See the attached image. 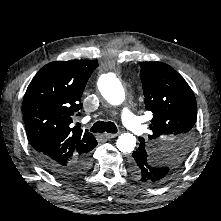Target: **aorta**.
I'll return each mask as SVG.
<instances>
[{"mask_svg": "<svg viewBox=\"0 0 221 221\" xmlns=\"http://www.w3.org/2000/svg\"><path fill=\"white\" fill-rule=\"evenodd\" d=\"M98 88L106 101L112 105H120L125 99L124 88L113 73L102 75L98 81ZM116 145L121 152L130 153L136 146V137L131 133H123L118 137Z\"/></svg>", "mask_w": 221, "mask_h": 221, "instance_id": "762f6f07", "label": "aorta"}]
</instances>
